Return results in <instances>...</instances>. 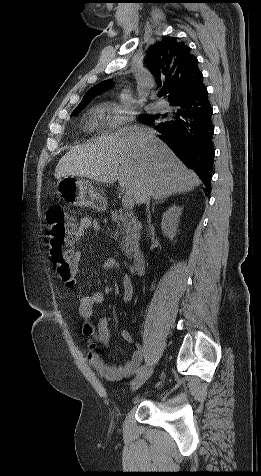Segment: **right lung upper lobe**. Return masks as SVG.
Here are the masks:
<instances>
[{"label":"right lung upper lobe","instance_id":"1","mask_svg":"<svg viewBox=\"0 0 261 476\" xmlns=\"http://www.w3.org/2000/svg\"><path fill=\"white\" fill-rule=\"evenodd\" d=\"M147 63L157 77L158 87L163 84L162 89L167 90L170 103L190 95L203 80L196 57L191 54L190 48L177 38L165 37L154 44L147 52ZM111 87V80L93 86L77 107L87 105L94 96Z\"/></svg>","mask_w":261,"mask_h":476}]
</instances>
